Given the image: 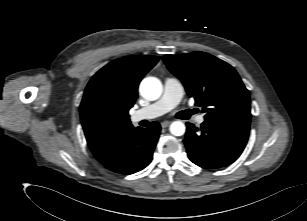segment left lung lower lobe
I'll list each match as a JSON object with an SVG mask.
<instances>
[{"label":"left lung lower lobe","instance_id":"1","mask_svg":"<svg viewBox=\"0 0 307 221\" xmlns=\"http://www.w3.org/2000/svg\"><path fill=\"white\" fill-rule=\"evenodd\" d=\"M184 143L189 159L203 168H221L233 163L243 152L250 127L233 122L207 121L200 128L186 123Z\"/></svg>","mask_w":307,"mask_h":221}]
</instances>
